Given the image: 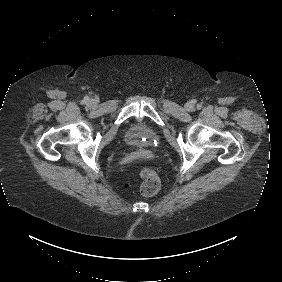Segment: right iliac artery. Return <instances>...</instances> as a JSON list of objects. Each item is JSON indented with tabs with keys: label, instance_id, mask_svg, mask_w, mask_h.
Here are the masks:
<instances>
[{
	"label": "right iliac artery",
	"instance_id": "obj_1",
	"mask_svg": "<svg viewBox=\"0 0 282 282\" xmlns=\"http://www.w3.org/2000/svg\"><path fill=\"white\" fill-rule=\"evenodd\" d=\"M88 101H89V99H88V98H85V99H84V102H85V103H87Z\"/></svg>",
	"mask_w": 282,
	"mask_h": 282
}]
</instances>
